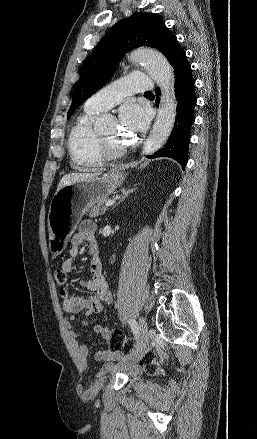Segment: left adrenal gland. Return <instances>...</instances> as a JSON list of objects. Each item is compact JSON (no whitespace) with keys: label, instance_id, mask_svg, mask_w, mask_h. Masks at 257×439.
<instances>
[{"label":"left adrenal gland","instance_id":"obj_1","mask_svg":"<svg viewBox=\"0 0 257 439\" xmlns=\"http://www.w3.org/2000/svg\"><path fill=\"white\" fill-rule=\"evenodd\" d=\"M134 190H135V189H125V188H122V189H121L122 196H121V198L119 199V201L113 206V208H114L115 206H117L118 204H120V202H122V201H123L128 195H130Z\"/></svg>","mask_w":257,"mask_h":439}]
</instances>
